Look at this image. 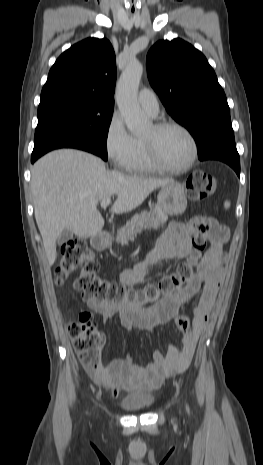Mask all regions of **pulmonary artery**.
Instances as JSON below:
<instances>
[{
  "instance_id": "e3ab8cb5",
  "label": "pulmonary artery",
  "mask_w": 263,
  "mask_h": 465,
  "mask_svg": "<svg viewBox=\"0 0 263 465\" xmlns=\"http://www.w3.org/2000/svg\"><path fill=\"white\" fill-rule=\"evenodd\" d=\"M138 103L141 108L151 116H156L159 111V103L155 93L147 88L140 90Z\"/></svg>"
}]
</instances>
